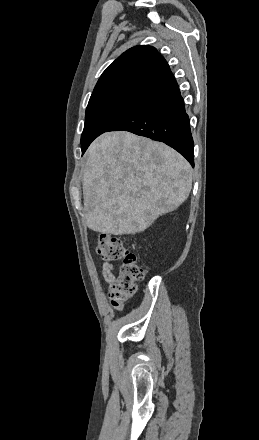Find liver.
I'll return each instance as SVG.
<instances>
[{
  "mask_svg": "<svg viewBox=\"0 0 259 440\" xmlns=\"http://www.w3.org/2000/svg\"><path fill=\"white\" fill-rule=\"evenodd\" d=\"M191 188L190 164L164 143L107 132L86 152L84 209L86 224L95 232H142L184 203Z\"/></svg>",
  "mask_w": 259,
  "mask_h": 440,
  "instance_id": "liver-1",
  "label": "liver"
}]
</instances>
